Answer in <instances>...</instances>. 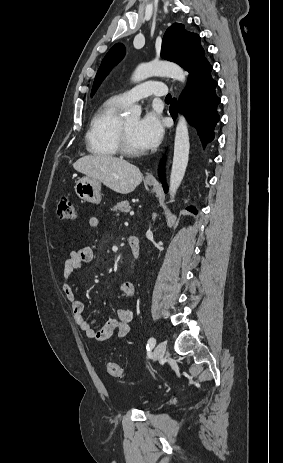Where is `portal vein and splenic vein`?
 Returning <instances> with one entry per match:
<instances>
[{
	"instance_id": "portal-vein-and-splenic-vein-1",
	"label": "portal vein and splenic vein",
	"mask_w": 283,
	"mask_h": 463,
	"mask_svg": "<svg viewBox=\"0 0 283 463\" xmlns=\"http://www.w3.org/2000/svg\"><path fill=\"white\" fill-rule=\"evenodd\" d=\"M130 215H134V211H131V212H130Z\"/></svg>"
}]
</instances>
